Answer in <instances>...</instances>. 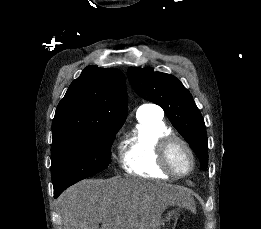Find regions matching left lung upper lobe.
<instances>
[{"mask_svg":"<svg viewBox=\"0 0 261 229\" xmlns=\"http://www.w3.org/2000/svg\"><path fill=\"white\" fill-rule=\"evenodd\" d=\"M129 82L142 98L161 106L167 117L200 159L208 163V140L203 117L192 95L173 75L154 72L152 68L129 67Z\"/></svg>","mask_w":261,"mask_h":229,"instance_id":"left-lung-upper-lobe-1","label":"left lung upper lobe"}]
</instances>
